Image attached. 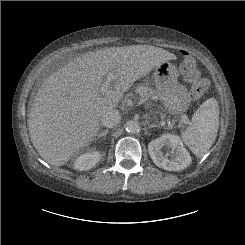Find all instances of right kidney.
Wrapping results in <instances>:
<instances>
[{"label":"right kidney","instance_id":"ca27d5eb","mask_svg":"<svg viewBox=\"0 0 245 245\" xmlns=\"http://www.w3.org/2000/svg\"><path fill=\"white\" fill-rule=\"evenodd\" d=\"M101 154L98 151H90L81 154L74 161V168L80 171L90 170L100 160Z\"/></svg>","mask_w":245,"mask_h":245}]
</instances>
